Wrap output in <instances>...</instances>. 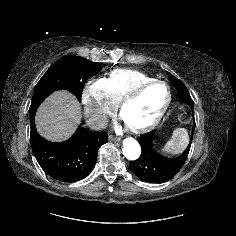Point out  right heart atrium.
Instances as JSON below:
<instances>
[{
  "instance_id": "right-heart-atrium-1",
  "label": "right heart atrium",
  "mask_w": 236,
  "mask_h": 236,
  "mask_svg": "<svg viewBox=\"0 0 236 236\" xmlns=\"http://www.w3.org/2000/svg\"><path fill=\"white\" fill-rule=\"evenodd\" d=\"M82 103L88 124L96 129L104 125L107 116L115 109V105L108 98L103 79L87 82L82 92Z\"/></svg>"
}]
</instances>
